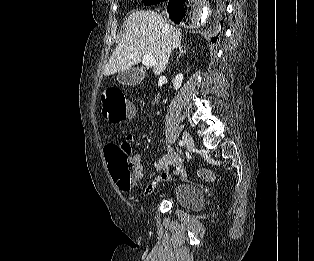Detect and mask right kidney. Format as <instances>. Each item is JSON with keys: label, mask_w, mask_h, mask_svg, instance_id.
I'll use <instances>...</instances> for the list:
<instances>
[{"label": "right kidney", "mask_w": 314, "mask_h": 261, "mask_svg": "<svg viewBox=\"0 0 314 261\" xmlns=\"http://www.w3.org/2000/svg\"><path fill=\"white\" fill-rule=\"evenodd\" d=\"M182 81H183V75L182 74H178L174 78V80H173V87H174V89L176 91L181 87ZM157 114H159V112Z\"/></svg>", "instance_id": "obj_1"}]
</instances>
